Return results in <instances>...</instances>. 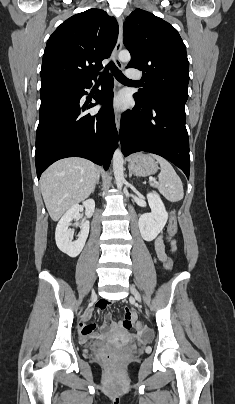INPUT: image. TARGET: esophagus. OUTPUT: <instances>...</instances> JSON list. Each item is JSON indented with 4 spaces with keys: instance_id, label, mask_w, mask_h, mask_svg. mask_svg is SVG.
<instances>
[{
    "instance_id": "34e87169",
    "label": "esophagus",
    "mask_w": 235,
    "mask_h": 404,
    "mask_svg": "<svg viewBox=\"0 0 235 404\" xmlns=\"http://www.w3.org/2000/svg\"><path fill=\"white\" fill-rule=\"evenodd\" d=\"M118 25H119V34H118V40L114 49V62L115 65L119 68V69H123V64L121 63L120 59H119V52L122 49V45H123V19L119 18L118 19ZM115 115V123H116V128L117 130L120 129V113L117 109H115L114 112Z\"/></svg>"
}]
</instances>
